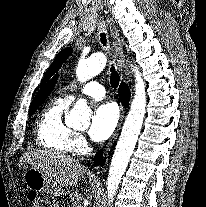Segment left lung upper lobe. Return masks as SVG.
Wrapping results in <instances>:
<instances>
[{"instance_id": "left-lung-upper-lobe-1", "label": "left lung upper lobe", "mask_w": 206, "mask_h": 207, "mask_svg": "<svg viewBox=\"0 0 206 207\" xmlns=\"http://www.w3.org/2000/svg\"><path fill=\"white\" fill-rule=\"evenodd\" d=\"M72 53V48H66L62 50L54 59L52 65L47 70V73L43 79V82L41 85L44 84L58 69L59 66L68 58V56Z\"/></svg>"}]
</instances>
